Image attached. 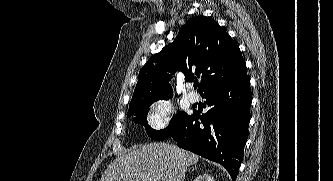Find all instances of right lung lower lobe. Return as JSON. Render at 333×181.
Here are the masks:
<instances>
[{
  "instance_id": "1",
  "label": "right lung lower lobe",
  "mask_w": 333,
  "mask_h": 181,
  "mask_svg": "<svg viewBox=\"0 0 333 181\" xmlns=\"http://www.w3.org/2000/svg\"><path fill=\"white\" fill-rule=\"evenodd\" d=\"M201 96L206 98L207 113L188 115L171 137L179 147L224 166L235 180L248 138L249 77L211 88Z\"/></svg>"
}]
</instances>
